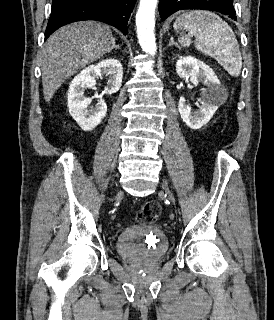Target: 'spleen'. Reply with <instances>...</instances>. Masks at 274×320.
Instances as JSON below:
<instances>
[{"mask_svg": "<svg viewBox=\"0 0 274 320\" xmlns=\"http://www.w3.org/2000/svg\"><path fill=\"white\" fill-rule=\"evenodd\" d=\"M174 30L184 28L190 36H195V48L199 52L209 54L224 70L238 78L242 70V56L239 44L230 26L223 22L217 14L205 10H187L176 18ZM182 46H190V38H180Z\"/></svg>", "mask_w": 274, "mask_h": 320, "instance_id": "1", "label": "spleen"}]
</instances>
